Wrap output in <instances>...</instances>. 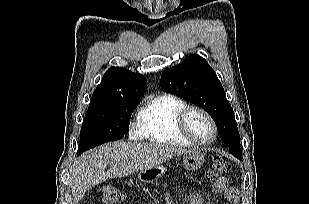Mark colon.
Instances as JSON below:
<instances>
[{"label":"colon","instance_id":"colon-1","mask_svg":"<svg viewBox=\"0 0 309 204\" xmlns=\"http://www.w3.org/2000/svg\"><path fill=\"white\" fill-rule=\"evenodd\" d=\"M230 169L229 163L221 156H215L209 166L207 178L210 180L218 179L226 174ZM125 194L112 185L103 187L101 202L103 204H120L124 201Z\"/></svg>","mask_w":309,"mask_h":204}]
</instances>
